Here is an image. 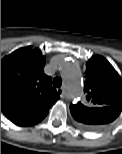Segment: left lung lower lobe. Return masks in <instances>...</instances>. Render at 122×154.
<instances>
[{
    "instance_id": "obj_1",
    "label": "left lung lower lobe",
    "mask_w": 122,
    "mask_h": 154,
    "mask_svg": "<svg viewBox=\"0 0 122 154\" xmlns=\"http://www.w3.org/2000/svg\"><path fill=\"white\" fill-rule=\"evenodd\" d=\"M85 115L80 119L85 122V124H80L79 126L85 130H99L106 126L107 124L114 121L120 114L122 108L116 106H106L102 108H87Z\"/></svg>"
}]
</instances>
